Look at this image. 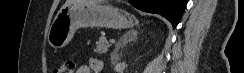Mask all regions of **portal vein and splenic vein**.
Segmentation results:
<instances>
[{"label": "portal vein and splenic vein", "instance_id": "obj_1", "mask_svg": "<svg viewBox=\"0 0 244 73\" xmlns=\"http://www.w3.org/2000/svg\"><path fill=\"white\" fill-rule=\"evenodd\" d=\"M110 43H115V40L114 39H110V41H109Z\"/></svg>", "mask_w": 244, "mask_h": 73}]
</instances>
